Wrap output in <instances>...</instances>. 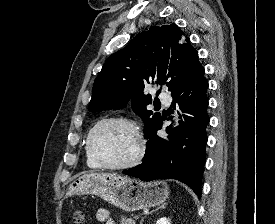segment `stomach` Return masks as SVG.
<instances>
[{"label":"stomach","instance_id":"0dacf381","mask_svg":"<svg viewBox=\"0 0 275 224\" xmlns=\"http://www.w3.org/2000/svg\"><path fill=\"white\" fill-rule=\"evenodd\" d=\"M73 195H96L127 212L156 207L165 202L169 188L164 181L143 182L109 173H91L72 181Z\"/></svg>","mask_w":275,"mask_h":224}]
</instances>
